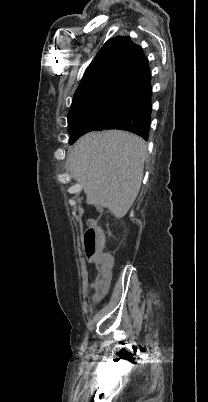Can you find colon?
<instances>
[{
  "mask_svg": "<svg viewBox=\"0 0 208 402\" xmlns=\"http://www.w3.org/2000/svg\"><path fill=\"white\" fill-rule=\"evenodd\" d=\"M84 239L87 240L84 248V255L89 259L91 265H97L100 277H109L114 257L110 256L109 250H102L106 243L104 232H96L93 227L89 232L84 234ZM95 290L99 295H110L111 287L108 286L107 279L101 278L100 282L95 283ZM96 304L95 302L93 303Z\"/></svg>",
  "mask_w": 208,
  "mask_h": 402,
  "instance_id": "5ec220e1",
  "label": "colon"
}]
</instances>
